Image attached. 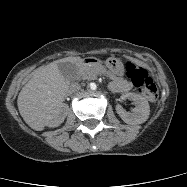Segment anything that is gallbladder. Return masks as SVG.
Listing matches in <instances>:
<instances>
[{"label":"gallbladder","mask_w":187,"mask_h":187,"mask_svg":"<svg viewBox=\"0 0 187 187\" xmlns=\"http://www.w3.org/2000/svg\"><path fill=\"white\" fill-rule=\"evenodd\" d=\"M58 68L65 78H70L74 72V65L70 62H60Z\"/></svg>","instance_id":"1"}]
</instances>
